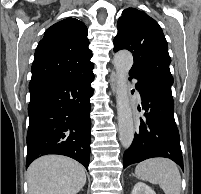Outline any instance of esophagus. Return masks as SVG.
<instances>
[{
	"mask_svg": "<svg viewBox=\"0 0 201 194\" xmlns=\"http://www.w3.org/2000/svg\"><path fill=\"white\" fill-rule=\"evenodd\" d=\"M110 81H111L112 91L115 94L117 91V75L115 74V72H112L110 76Z\"/></svg>",
	"mask_w": 201,
	"mask_h": 194,
	"instance_id": "34e87169",
	"label": "esophagus"
}]
</instances>
